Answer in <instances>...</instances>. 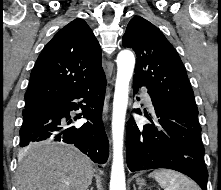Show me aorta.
<instances>
[{
    "instance_id": "aorta-1",
    "label": "aorta",
    "mask_w": 221,
    "mask_h": 190,
    "mask_svg": "<svg viewBox=\"0 0 221 190\" xmlns=\"http://www.w3.org/2000/svg\"><path fill=\"white\" fill-rule=\"evenodd\" d=\"M135 66V57L129 50L117 56V77L112 112L113 162L109 190H126L123 163V137L128 105L129 82Z\"/></svg>"
}]
</instances>
